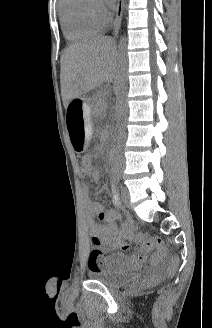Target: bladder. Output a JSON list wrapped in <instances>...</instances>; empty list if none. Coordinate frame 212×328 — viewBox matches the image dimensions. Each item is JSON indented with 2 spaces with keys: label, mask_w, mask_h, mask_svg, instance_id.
I'll return each mask as SVG.
<instances>
[{
  "label": "bladder",
  "mask_w": 212,
  "mask_h": 328,
  "mask_svg": "<svg viewBox=\"0 0 212 328\" xmlns=\"http://www.w3.org/2000/svg\"><path fill=\"white\" fill-rule=\"evenodd\" d=\"M88 276L90 279L101 282L112 289L124 287L136 278L134 273L116 270H92Z\"/></svg>",
  "instance_id": "1"
}]
</instances>
